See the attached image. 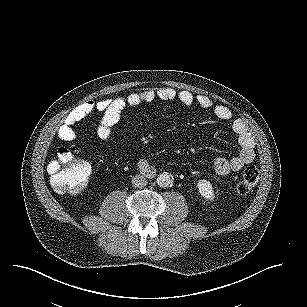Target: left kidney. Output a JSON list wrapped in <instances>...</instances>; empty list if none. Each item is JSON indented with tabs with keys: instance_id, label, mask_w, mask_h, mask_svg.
<instances>
[{
	"instance_id": "5707ae66",
	"label": "left kidney",
	"mask_w": 307,
	"mask_h": 307,
	"mask_svg": "<svg viewBox=\"0 0 307 307\" xmlns=\"http://www.w3.org/2000/svg\"><path fill=\"white\" fill-rule=\"evenodd\" d=\"M197 187L201 196H203L208 201H213L215 194L212 188V184L207 180H199Z\"/></svg>"
}]
</instances>
